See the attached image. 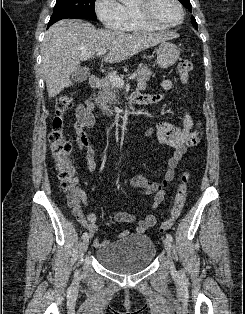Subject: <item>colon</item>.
I'll use <instances>...</instances> for the list:
<instances>
[{"mask_svg":"<svg viewBox=\"0 0 245 314\" xmlns=\"http://www.w3.org/2000/svg\"><path fill=\"white\" fill-rule=\"evenodd\" d=\"M192 70V62L188 59L180 61L178 73L183 83L189 80V73ZM74 98L70 94H62L55 101V117L52 123V131L49 135L50 150L55 163L61 187L68 193L71 205L77 209L80 195L76 189L75 168L69 157L72 151V144L67 139L64 132L65 114L73 107ZM189 174L184 173L181 184L178 188L174 204L171 210V216L160 225V231L169 230L176 219L180 216L185 204L187 184ZM78 217L82 218L78 213Z\"/></svg>","mask_w":245,"mask_h":314,"instance_id":"colon-1","label":"colon"}]
</instances>
